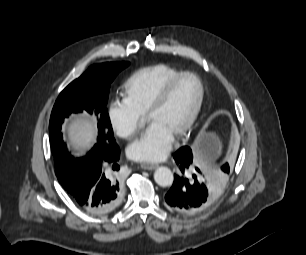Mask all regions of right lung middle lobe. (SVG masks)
<instances>
[{"label": "right lung middle lobe", "mask_w": 306, "mask_h": 255, "mask_svg": "<svg viewBox=\"0 0 306 255\" xmlns=\"http://www.w3.org/2000/svg\"><path fill=\"white\" fill-rule=\"evenodd\" d=\"M128 65L129 62L93 65L70 83L57 98L50 117L49 138L55 174L63 187L67 186L71 179L70 163L77 159H95L98 156L111 155L117 149L106 104L111 82L118 72ZM82 111L93 114V118L97 117L98 138L86 156L74 158L62 141L61 124L71 113Z\"/></svg>", "instance_id": "right-lung-middle-lobe-1"}]
</instances>
